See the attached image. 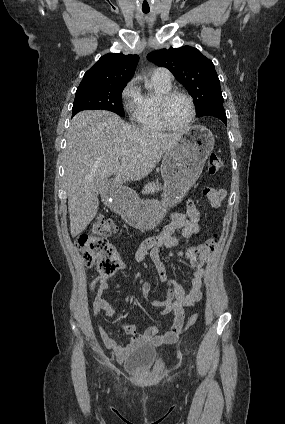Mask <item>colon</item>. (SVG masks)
I'll list each match as a JSON object with an SVG mask.
<instances>
[{"instance_id":"1","label":"colon","mask_w":285,"mask_h":424,"mask_svg":"<svg viewBox=\"0 0 285 424\" xmlns=\"http://www.w3.org/2000/svg\"><path fill=\"white\" fill-rule=\"evenodd\" d=\"M222 160L217 154H210L207 159V171L214 175L222 168ZM204 197L213 207H219L225 199L226 192L223 189L206 187ZM116 231L114 223L103 216H98L93 222L91 229L78 237L77 246L83 257L86 267L96 266L101 276H112L119 268L120 261L116 250L109 243L108 237ZM216 239L210 238L204 242L189 247L184 255L195 266L203 264L214 251ZM197 319L194 314L188 319L186 326H192ZM179 325V324H178Z\"/></svg>"}]
</instances>
